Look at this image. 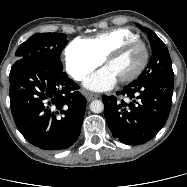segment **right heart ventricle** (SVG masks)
Returning <instances> with one entry per match:
<instances>
[{
    "label": "right heart ventricle",
    "mask_w": 187,
    "mask_h": 187,
    "mask_svg": "<svg viewBox=\"0 0 187 187\" xmlns=\"http://www.w3.org/2000/svg\"><path fill=\"white\" fill-rule=\"evenodd\" d=\"M137 38H139V36L129 29L116 28L98 33L88 38L86 41L94 52L100 57L105 58L106 54L119 44Z\"/></svg>",
    "instance_id": "obj_1"
}]
</instances>
